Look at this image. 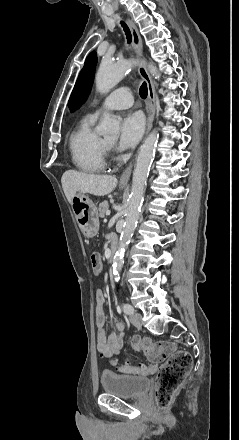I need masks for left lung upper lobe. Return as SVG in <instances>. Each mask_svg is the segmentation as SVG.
<instances>
[{"mask_svg":"<svg viewBox=\"0 0 239 440\" xmlns=\"http://www.w3.org/2000/svg\"><path fill=\"white\" fill-rule=\"evenodd\" d=\"M97 63V53L91 52L85 61L84 67L81 70L74 89L71 93L68 107L71 111H74L86 100L89 90L93 83L94 71Z\"/></svg>","mask_w":239,"mask_h":440,"instance_id":"obj_1","label":"left lung upper lobe"}]
</instances>
